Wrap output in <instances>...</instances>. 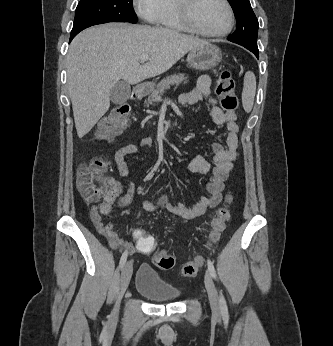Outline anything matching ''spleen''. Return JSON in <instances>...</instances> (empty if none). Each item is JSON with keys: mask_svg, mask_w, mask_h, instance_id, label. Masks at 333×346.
Wrapping results in <instances>:
<instances>
[{"mask_svg": "<svg viewBox=\"0 0 333 346\" xmlns=\"http://www.w3.org/2000/svg\"><path fill=\"white\" fill-rule=\"evenodd\" d=\"M256 93V77L253 72L248 71L244 77V87L242 92V104L246 112H250L253 107Z\"/></svg>", "mask_w": 333, "mask_h": 346, "instance_id": "spleen-1", "label": "spleen"}]
</instances>
